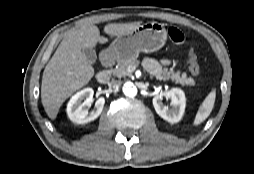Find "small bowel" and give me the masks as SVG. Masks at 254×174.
I'll use <instances>...</instances> for the list:
<instances>
[{
    "instance_id": "1",
    "label": "small bowel",
    "mask_w": 254,
    "mask_h": 174,
    "mask_svg": "<svg viewBox=\"0 0 254 174\" xmlns=\"http://www.w3.org/2000/svg\"><path fill=\"white\" fill-rule=\"evenodd\" d=\"M166 64H168V61L166 60L157 61L153 58H146L143 61L144 67L147 69L148 72H150L153 75L158 74L159 71L161 70V67Z\"/></svg>"
}]
</instances>
